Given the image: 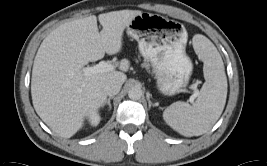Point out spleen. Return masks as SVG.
Listing matches in <instances>:
<instances>
[{
    "label": "spleen",
    "mask_w": 267,
    "mask_h": 166,
    "mask_svg": "<svg viewBox=\"0 0 267 166\" xmlns=\"http://www.w3.org/2000/svg\"><path fill=\"white\" fill-rule=\"evenodd\" d=\"M194 48L204 62L203 84L192 105L175 102L163 113L165 122L186 137L199 136L212 128L221 116L227 97V78L222 58L213 43L203 36L194 39Z\"/></svg>",
    "instance_id": "3e777b00"
}]
</instances>
